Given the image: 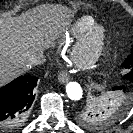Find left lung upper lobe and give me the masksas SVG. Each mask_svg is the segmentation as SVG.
Returning a JSON list of instances; mask_svg holds the SVG:
<instances>
[{
  "mask_svg": "<svg viewBox=\"0 0 133 133\" xmlns=\"http://www.w3.org/2000/svg\"><path fill=\"white\" fill-rule=\"evenodd\" d=\"M123 67L130 70L124 78L133 82V46L131 48V55L125 60ZM121 113L122 109H117L116 105L111 103L110 105L104 104L100 109L87 106L82 112L77 114V121L88 128H99L116 120Z\"/></svg>",
  "mask_w": 133,
  "mask_h": 133,
  "instance_id": "left-lung-upper-lobe-1",
  "label": "left lung upper lobe"
}]
</instances>
